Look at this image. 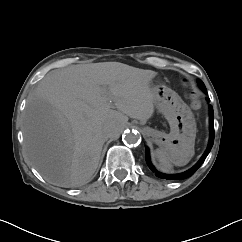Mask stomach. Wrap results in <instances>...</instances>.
<instances>
[{"mask_svg": "<svg viewBox=\"0 0 242 242\" xmlns=\"http://www.w3.org/2000/svg\"><path fill=\"white\" fill-rule=\"evenodd\" d=\"M154 105L170 125V133L144 127V134L161 149L176 151L188 160L194 152L196 123L191 109L181 97L164 84L153 87Z\"/></svg>", "mask_w": 242, "mask_h": 242, "instance_id": "1", "label": "stomach"}]
</instances>
